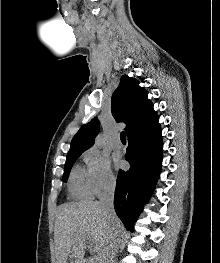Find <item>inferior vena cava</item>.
<instances>
[{
  "mask_svg": "<svg viewBox=\"0 0 220 263\" xmlns=\"http://www.w3.org/2000/svg\"><path fill=\"white\" fill-rule=\"evenodd\" d=\"M115 187L116 182L113 178H111L103 186V190L100 195L99 203L104 213L106 214L108 220L112 223L102 263H115V255L120 244L121 231L113 223L115 217H117L113 205Z\"/></svg>",
  "mask_w": 220,
  "mask_h": 263,
  "instance_id": "obj_1",
  "label": "inferior vena cava"
}]
</instances>
